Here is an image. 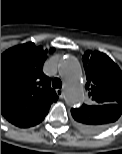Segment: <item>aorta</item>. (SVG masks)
Here are the masks:
<instances>
[{
	"label": "aorta",
	"mask_w": 122,
	"mask_h": 154,
	"mask_svg": "<svg viewBox=\"0 0 122 154\" xmlns=\"http://www.w3.org/2000/svg\"><path fill=\"white\" fill-rule=\"evenodd\" d=\"M59 72L65 82L66 102L69 105H79L84 97L81 82V68L73 57L61 59L58 65Z\"/></svg>",
	"instance_id": "obj_1"
}]
</instances>
